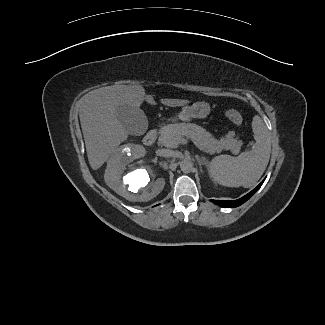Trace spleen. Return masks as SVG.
Masks as SVG:
<instances>
[{
  "mask_svg": "<svg viewBox=\"0 0 325 325\" xmlns=\"http://www.w3.org/2000/svg\"><path fill=\"white\" fill-rule=\"evenodd\" d=\"M255 144L239 156L220 155L209 163L210 178L222 186L250 188L263 175L270 158L271 136L260 116L252 120Z\"/></svg>",
  "mask_w": 325,
  "mask_h": 325,
  "instance_id": "spleen-1",
  "label": "spleen"
}]
</instances>
